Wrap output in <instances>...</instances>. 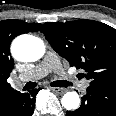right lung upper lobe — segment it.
<instances>
[{"mask_svg": "<svg viewBox=\"0 0 116 116\" xmlns=\"http://www.w3.org/2000/svg\"><path fill=\"white\" fill-rule=\"evenodd\" d=\"M40 27V23H26L16 19L0 21V109L6 100L17 91L7 83V78L14 67V61L9 50L10 44L16 36L36 32Z\"/></svg>", "mask_w": 116, "mask_h": 116, "instance_id": "cb5924a9", "label": "right lung upper lobe"}]
</instances>
